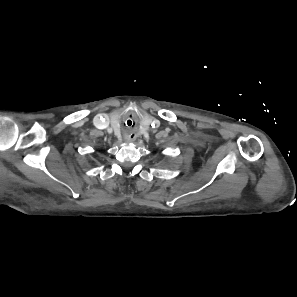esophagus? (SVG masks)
I'll return each mask as SVG.
<instances>
[{"instance_id": "esophagus-1", "label": "esophagus", "mask_w": 297, "mask_h": 297, "mask_svg": "<svg viewBox=\"0 0 297 297\" xmlns=\"http://www.w3.org/2000/svg\"><path fill=\"white\" fill-rule=\"evenodd\" d=\"M135 138H136V135L135 134H130V135H128V136L125 137V139H126L127 142H132V141L135 140Z\"/></svg>"}]
</instances>
